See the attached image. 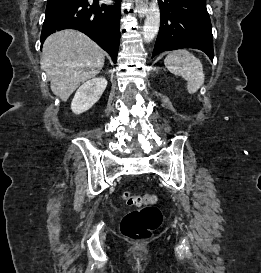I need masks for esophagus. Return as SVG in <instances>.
<instances>
[{
	"instance_id": "34e87169",
	"label": "esophagus",
	"mask_w": 261,
	"mask_h": 273,
	"mask_svg": "<svg viewBox=\"0 0 261 273\" xmlns=\"http://www.w3.org/2000/svg\"><path fill=\"white\" fill-rule=\"evenodd\" d=\"M148 0H136V11L139 17H144L148 10Z\"/></svg>"
}]
</instances>
